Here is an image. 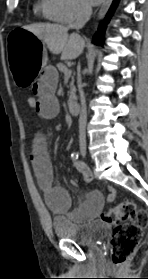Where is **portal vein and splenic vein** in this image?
I'll list each match as a JSON object with an SVG mask.
<instances>
[{
  "label": "portal vein and splenic vein",
  "mask_w": 148,
  "mask_h": 279,
  "mask_svg": "<svg viewBox=\"0 0 148 279\" xmlns=\"http://www.w3.org/2000/svg\"><path fill=\"white\" fill-rule=\"evenodd\" d=\"M70 75H71V71H70V70H69V71L66 70V71H65V77H70Z\"/></svg>",
  "instance_id": "18ae733b"
}]
</instances>
